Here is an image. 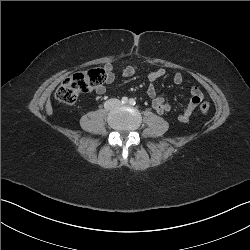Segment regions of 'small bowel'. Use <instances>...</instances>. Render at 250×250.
<instances>
[{
	"label": "small bowel",
	"instance_id": "obj_1",
	"mask_svg": "<svg viewBox=\"0 0 250 250\" xmlns=\"http://www.w3.org/2000/svg\"><path fill=\"white\" fill-rule=\"evenodd\" d=\"M139 70V66L135 64L126 65L121 67V75L123 77H132ZM105 73V82L95 88L97 94H104L106 91L105 84H111L115 79L114 66L111 63H107L103 67ZM166 70L163 68L150 71L147 74L148 87L147 95L151 99L153 109L158 114H164L172 109V106L165 101V99L157 94L155 83L158 79L165 76ZM173 83L175 85H181L183 83V77L180 73H176L173 76ZM191 99L185 108L179 113L177 119L180 122H187L192 116L195 108L201 103L204 98L202 91L197 86L190 88Z\"/></svg>",
	"mask_w": 250,
	"mask_h": 250
}]
</instances>
